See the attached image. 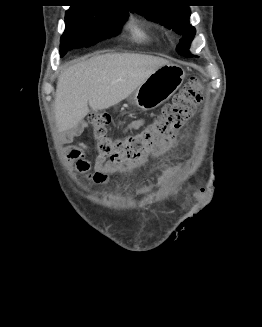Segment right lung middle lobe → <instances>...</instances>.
<instances>
[{"instance_id":"dd1d6c3e","label":"right lung middle lobe","mask_w":262,"mask_h":327,"mask_svg":"<svg viewBox=\"0 0 262 327\" xmlns=\"http://www.w3.org/2000/svg\"><path fill=\"white\" fill-rule=\"evenodd\" d=\"M127 16V11L89 6L71 7L65 15L66 27L60 44L61 57L72 48L90 46L118 35Z\"/></svg>"}]
</instances>
